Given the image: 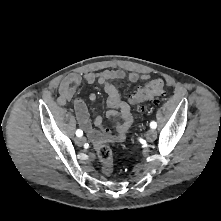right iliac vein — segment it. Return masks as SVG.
<instances>
[{"label":"right iliac vein","instance_id":"63e3f726","mask_svg":"<svg viewBox=\"0 0 221 221\" xmlns=\"http://www.w3.org/2000/svg\"><path fill=\"white\" fill-rule=\"evenodd\" d=\"M86 142V139L84 137H79L76 139V144L81 146Z\"/></svg>","mask_w":221,"mask_h":221}]
</instances>
